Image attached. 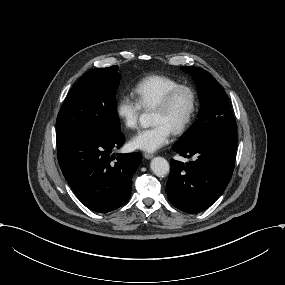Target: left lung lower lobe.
<instances>
[{"label":"left lung lower lobe","mask_w":285,"mask_h":285,"mask_svg":"<svg viewBox=\"0 0 285 285\" xmlns=\"http://www.w3.org/2000/svg\"><path fill=\"white\" fill-rule=\"evenodd\" d=\"M236 128L218 130L186 148L181 156H198L185 165L171 160L167 197L176 208L191 214L211 206L228 185L235 164Z\"/></svg>","instance_id":"1"}]
</instances>
